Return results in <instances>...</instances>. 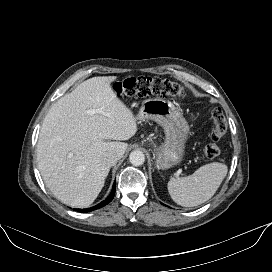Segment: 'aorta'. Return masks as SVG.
<instances>
[{"label":"aorta","mask_w":272,"mask_h":272,"mask_svg":"<svg viewBox=\"0 0 272 272\" xmlns=\"http://www.w3.org/2000/svg\"><path fill=\"white\" fill-rule=\"evenodd\" d=\"M129 161L133 166H140L145 162V155L142 151L134 150L129 155Z\"/></svg>","instance_id":"762f6f07"}]
</instances>
